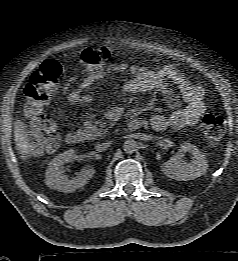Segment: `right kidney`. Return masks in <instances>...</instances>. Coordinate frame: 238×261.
Segmentation results:
<instances>
[{
    "mask_svg": "<svg viewBox=\"0 0 238 261\" xmlns=\"http://www.w3.org/2000/svg\"><path fill=\"white\" fill-rule=\"evenodd\" d=\"M75 157V150L69 149L56 156L49 163L45 179V183L48 187L61 192L70 193L84 186L93 177L95 173L93 168L82 169L72 180H69L68 177L63 174V165L71 162Z\"/></svg>",
    "mask_w": 238,
    "mask_h": 261,
    "instance_id": "right-kidney-1",
    "label": "right kidney"
}]
</instances>
